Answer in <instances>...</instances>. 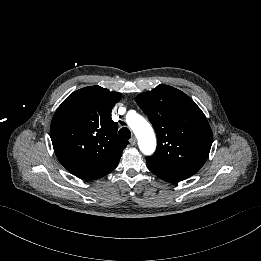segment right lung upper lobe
<instances>
[{
	"label": "right lung upper lobe",
	"mask_w": 261,
	"mask_h": 261,
	"mask_svg": "<svg viewBox=\"0 0 261 261\" xmlns=\"http://www.w3.org/2000/svg\"><path fill=\"white\" fill-rule=\"evenodd\" d=\"M118 92L89 86L73 92L59 106L51 122V140L60 163L84 180L99 179L118 164L129 143L117 135L111 118Z\"/></svg>",
	"instance_id": "obj_1"
}]
</instances>
